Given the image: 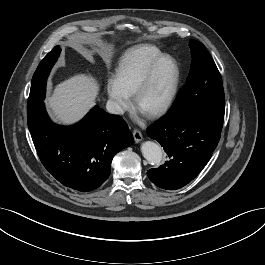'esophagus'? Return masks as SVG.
<instances>
[{"instance_id":"34e87169","label":"esophagus","mask_w":265,"mask_h":265,"mask_svg":"<svg viewBox=\"0 0 265 265\" xmlns=\"http://www.w3.org/2000/svg\"><path fill=\"white\" fill-rule=\"evenodd\" d=\"M133 137L135 142H141L143 139L142 133L138 129L133 130Z\"/></svg>"}]
</instances>
